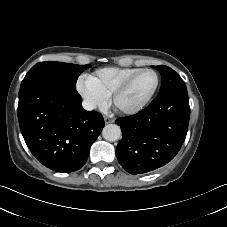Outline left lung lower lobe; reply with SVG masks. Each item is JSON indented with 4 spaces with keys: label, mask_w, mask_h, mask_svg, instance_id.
<instances>
[{
    "label": "left lung lower lobe",
    "mask_w": 227,
    "mask_h": 227,
    "mask_svg": "<svg viewBox=\"0 0 227 227\" xmlns=\"http://www.w3.org/2000/svg\"><path fill=\"white\" fill-rule=\"evenodd\" d=\"M189 117L187 89H173L159 94L139 113L117 119L122 130L116 148L120 165L136 175L170 162L185 140Z\"/></svg>",
    "instance_id": "obj_1"
}]
</instances>
